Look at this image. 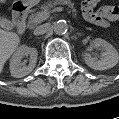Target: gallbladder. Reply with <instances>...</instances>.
<instances>
[{"mask_svg": "<svg viewBox=\"0 0 119 119\" xmlns=\"http://www.w3.org/2000/svg\"><path fill=\"white\" fill-rule=\"evenodd\" d=\"M0 26L4 29H10L12 28V23L9 19L0 16Z\"/></svg>", "mask_w": 119, "mask_h": 119, "instance_id": "obj_1", "label": "gallbladder"}]
</instances>
